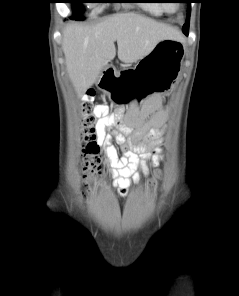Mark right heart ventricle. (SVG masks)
<instances>
[{
  "label": "right heart ventricle",
  "mask_w": 239,
  "mask_h": 296,
  "mask_svg": "<svg viewBox=\"0 0 239 296\" xmlns=\"http://www.w3.org/2000/svg\"><path fill=\"white\" fill-rule=\"evenodd\" d=\"M157 0H149L148 3L142 5L143 9L154 15H160L164 12L162 4L156 3Z\"/></svg>",
  "instance_id": "e07e8e85"
}]
</instances>
